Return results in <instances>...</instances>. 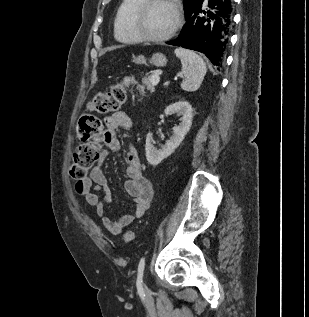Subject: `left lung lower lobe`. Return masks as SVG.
Returning <instances> with one entry per match:
<instances>
[{"label":"left lung lower lobe","mask_w":309,"mask_h":317,"mask_svg":"<svg viewBox=\"0 0 309 317\" xmlns=\"http://www.w3.org/2000/svg\"><path fill=\"white\" fill-rule=\"evenodd\" d=\"M179 37L166 42L204 53L218 69L222 67L233 22V0H203L185 13Z\"/></svg>","instance_id":"0a47b994"}]
</instances>
